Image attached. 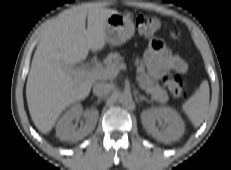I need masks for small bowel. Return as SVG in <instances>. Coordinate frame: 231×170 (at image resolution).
<instances>
[{
	"instance_id": "1",
	"label": "small bowel",
	"mask_w": 231,
	"mask_h": 170,
	"mask_svg": "<svg viewBox=\"0 0 231 170\" xmlns=\"http://www.w3.org/2000/svg\"><path fill=\"white\" fill-rule=\"evenodd\" d=\"M141 62L154 80L163 79L170 71L186 73L188 70L187 63L178 55L173 54L164 42L157 38L150 41Z\"/></svg>"
}]
</instances>
